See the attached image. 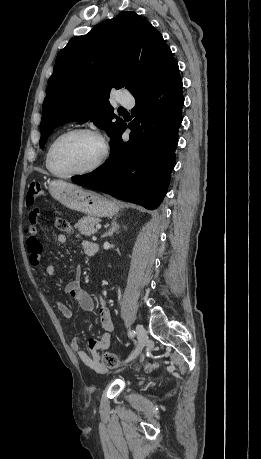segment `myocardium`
Listing matches in <instances>:
<instances>
[{
    "instance_id": "myocardium-1",
    "label": "myocardium",
    "mask_w": 261,
    "mask_h": 459,
    "mask_svg": "<svg viewBox=\"0 0 261 459\" xmlns=\"http://www.w3.org/2000/svg\"><path fill=\"white\" fill-rule=\"evenodd\" d=\"M75 134H84V135H89L95 138L101 146V152L98 158L90 166L82 170H78V171H74L70 173H59L55 171L51 165L52 154H53L54 148L60 140H62L63 138L67 136L75 135ZM108 153H109L108 145L99 132L93 129L84 128V127L72 128V129L62 132L51 142L48 148V151H47L46 167L51 172V174H53L54 176L60 177V178H71L75 176H82V175L90 174L98 170L103 165L105 160L107 159Z\"/></svg>"
}]
</instances>
